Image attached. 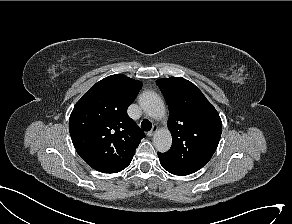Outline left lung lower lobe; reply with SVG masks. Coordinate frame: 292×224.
Here are the masks:
<instances>
[{"mask_svg": "<svg viewBox=\"0 0 292 224\" xmlns=\"http://www.w3.org/2000/svg\"><path fill=\"white\" fill-rule=\"evenodd\" d=\"M161 162V161H160ZM162 167L167 170L168 172L174 174V175H179V176H185V175H189L188 173L182 172L180 170H177L173 167H171L170 165L161 162Z\"/></svg>", "mask_w": 292, "mask_h": 224, "instance_id": "0a47b994", "label": "left lung lower lobe"}]
</instances>
